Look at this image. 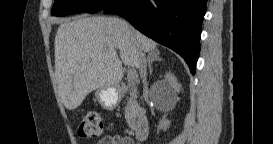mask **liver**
Here are the masks:
<instances>
[{
    "label": "liver",
    "mask_w": 273,
    "mask_h": 144,
    "mask_svg": "<svg viewBox=\"0 0 273 144\" xmlns=\"http://www.w3.org/2000/svg\"><path fill=\"white\" fill-rule=\"evenodd\" d=\"M54 45L59 95L74 110L90 92L117 88L122 63L138 68L137 52H151L157 43L120 18L96 16L60 24Z\"/></svg>",
    "instance_id": "6515ba94"
}]
</instances>
